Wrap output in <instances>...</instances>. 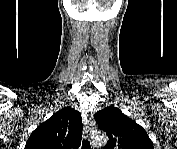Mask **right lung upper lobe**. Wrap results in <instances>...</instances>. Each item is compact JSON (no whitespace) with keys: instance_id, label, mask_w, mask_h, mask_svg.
Wrapping results in <instances>:
<instances>
[{"instance_id":"obj_1","label":"right lung upper lobe","mask_w":177,"mask_h":149,"mask_svg":"<svg viewBox=\"0 0 177 149\" xmlns=\"http://www.w3.org/2000/svg\"><path fill=\"white\" fill-rule=\"evenodd\" d=\"M82 127L81 114L64 107L31 133L25 149H76L80 146Z\"/></svg>"}]
</instances>
